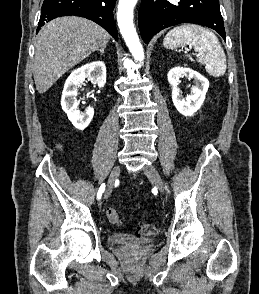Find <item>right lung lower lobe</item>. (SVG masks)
<instances>
[{
	"label": "right lung lower lobe",
	"instance_id": "right-lung-lower-lobe-1",
	"mask_svg": "<svg viewBox=\"0 0 259 294\" xmlns=\"http://www.w3.org/2000/svg\"><path fill=\"white\" fill-rule=\"evenodd\" d=\"M115 1L116 0H45L42 5L37 32L41 26L54 18L75 15L96 22L106 29L117 41V29L113 22Z\"/></svg>",
	"mask_w": 259,
	"mask_h": 294
}]
</instances>
